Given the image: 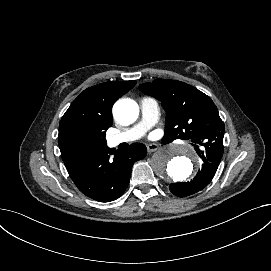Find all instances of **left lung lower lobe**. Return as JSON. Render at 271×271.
Returning a JSON list of instances; mask_svg holds the SVG:
<instances>
[{"mask_svg":"<svg viewBox=\"0 0 271 271\" xmlns=\"http://www.w3.org/2000/svg\"><path fill=\"white\" fill-rule=\"evenodd\" d=\"M198 155L203 159L202 168L190 182L172 183L169 185L170 191L178 197L192 195L205 188L213 179L220 164L223 151L204 148L196 149Z\"/></svg>","mask_w":271,"mask_h":271,"instance_id":"1","label":"left lung lower lobe"}]
</instances>
